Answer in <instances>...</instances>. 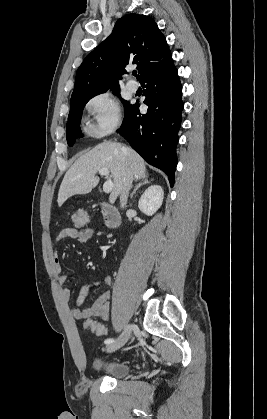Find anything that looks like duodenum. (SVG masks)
Wrapping results in <instances>:
<instances>
[{
    "label": "duodenum",
    "mask_w": 267,
    "mask_h": 419,
    "mask_svg": "<svg viewBox=\"0 0 267 419\" xmlns=\"http://www.w3.org/2000/svg\"><path fill=\"white\" fill-rule=\"evenodd\" d=\"M100 207L106 227L110 229L116 228L120 223V214L118 210L105 202H102Z\"/></svg>",
    "instance_id": "410a0bca"
}]
</instances>
